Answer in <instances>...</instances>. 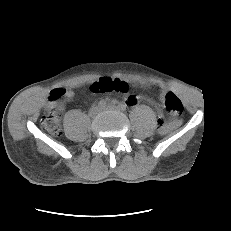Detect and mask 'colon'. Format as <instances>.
<instances>
[{
    "mask_svg": "<svg viewBox=\"0 0 231 231\" xmlns=\"http://www.w3.org/2000/svg\"><path fill=\"white\" fill-rule=\"evenodd\" d=\"M128 85L120 79L103 78L91 85V90L94 92L106 93L111 91L125 93L128 91ZM61 91H53L51 101L57 100L61 96ZM165 108L168 114L173 117H179L182 114L183 108L179 98L172 92H167L164 97ZM41 124L45 130L51 134L60 133V120L54 108H51L41 118ZM160 131H166V125L162 118L158 121Z\"/></svg>",
    "mask_w": 231,
    "mask_h": 231,
    "instance_id": "1",
    "label": "colon"
}]
</instances>
